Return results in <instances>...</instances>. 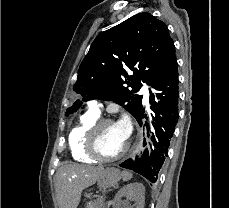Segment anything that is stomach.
I'll return each instance as SVG.
<instances>
[{
	"instance_id": "0dacf381",
	"label": "stomach",
	"mask_w": 229,
	"mask_h": 208,
	"mask_svg": "<svg viewBox=\"0 0 229 208\" xmlns=\"http://www.w3.org/2000/svg\"><path fill=\"white\" fill-rule=\"evenodd\" d=\"M121 178V174L119 170H116V168H106L104 172H101L97 184L99 188H112V186H116L117 182H119Z\"/></svg>"
}]
</instances>
